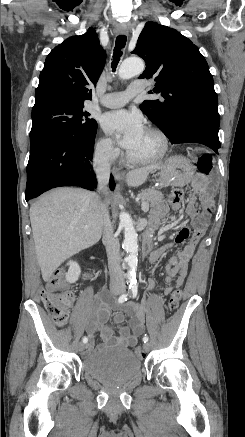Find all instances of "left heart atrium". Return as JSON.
<instances>
[{
	"label": "left heart atrium",
	"instance_id": "1",
	"mask_svg": "<svg viewBox=\"0 0 245 437\" xmlns=\"http://www.w3.org/2000/svg\"><path fill=\"white\" fill-rule=\"evenodd\" d=\"M101 125L103 130L108 135L115 136L118 143L129 153L137 147L145 133L142 117L126 110L105 114Z\"/></svg>",
	"mask_w": 245,
	"mask_h": 437
}]
</instances>
